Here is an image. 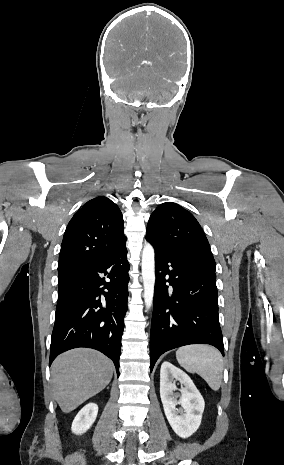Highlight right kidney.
Returning a JSON list of instances; mask_svg holds the SVG:
<instances>
[{
  "mask_svg": "<svg viewBox=\"0 0 284 465\" xmlns=\"http://www.w3.org/2000/svg\"><path fill=\"white\" fill-rule=\"evenodd\" d=\"M98 413V407L95 403H88L79 413H77L71 427L72 433L82 435L92 427Z\"/></svg>",
  "mask_w": 284,
  "mask_h": 465,
  "instance_id": "1",
  "label": "right kidney"
}]
</instances>
